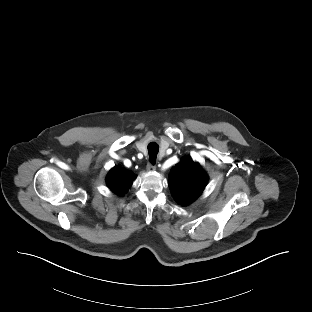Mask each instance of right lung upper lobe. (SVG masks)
I'll list each match as a JSON object with an SVG mask.
<instances>
[{"mask_svg":"<svg viewBox=\"0 0 312 312\" xmlns=\"http://www.w3.org/2000/svg\"><path fill=\"white\" fill-rule=\"evenodd\" d=\"M135 175L120 167H114L107 175V185L116 194L123 195L133 183Z\"/></svg>","mask_w":312,"mask_h":312,"instance_id":"cb5924a9","label":"right lung upper lobe"}]
</instances>
